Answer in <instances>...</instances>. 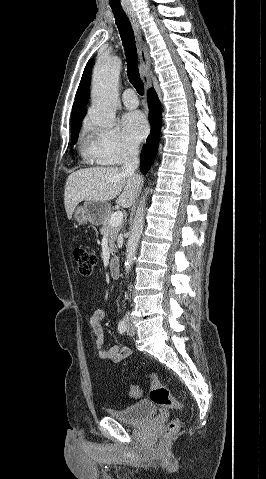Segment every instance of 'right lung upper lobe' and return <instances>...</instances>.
I'll use <instances>...</instances> for the list:
<instances>
[{"label":"right lung upper lobe","instance_id":"right-lung-upper-lobe-1","mask_svg":"<svg viewBox=\"0 0 266 479\" xmlns=\"http://www.w3.org/2000/svg\"><path fill=\"white\" fill-rule=\"evenodd\" d=\"M92 71V59H90L84 69L76 96L72 107V122L82 120L86 114V104L89 96L90 77Z\"/></svg>","mask_w":266,"mask_h":479}]
</instances>
